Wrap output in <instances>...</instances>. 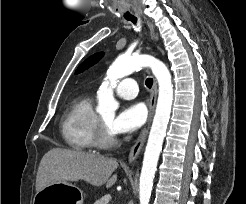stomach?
I'll return each mask as SVG.
<instances>
[{"instance_id": "1", "label": "stomach", "mask_w": 246, "mask_h": 204, "mask_svg": "<svg viewBox=\"0 0 246 204\" xmlns=\"http://www.w3.org/2000/svg\"><path fill=\"white\" fill-rule=\"evenodd\" d=\"M33 204H83V193L71 183H54L37 192Z\"/></svg>"}]
</instances>
